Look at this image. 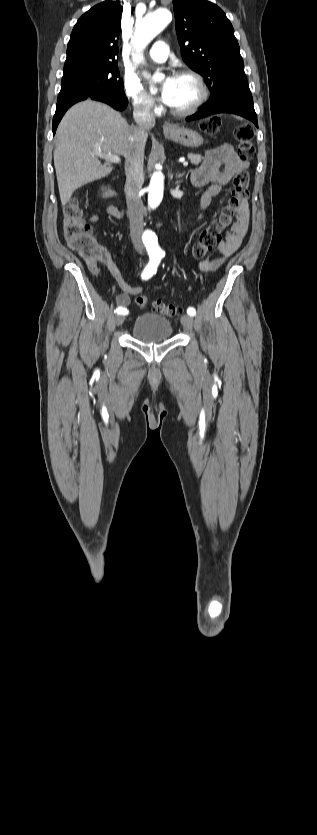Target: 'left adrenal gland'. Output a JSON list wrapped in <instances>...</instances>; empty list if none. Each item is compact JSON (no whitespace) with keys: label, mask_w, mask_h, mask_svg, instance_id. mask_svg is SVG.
Instances as JSON below:
<instances>
[{"label":"left adrenal gland","mask_w":317,"mask_h":835,"mask_svg":"<svg viewBox=\"0 0 317 835\" xmlns=\"http://www.w3.org/2000/svg\"><path fill=\"white\" fill-rule=\"evenodd\" d=\"M183 175H184V173H182V174H181V173H179V174H177V175H176V177H177V178H181Z\"/></svg>","instance_id":"left-adrenal-gland-1"}]
</instances>
